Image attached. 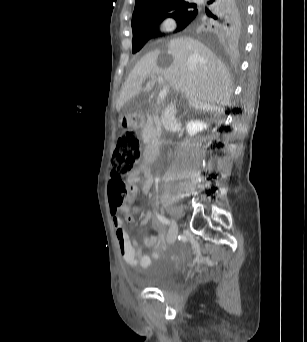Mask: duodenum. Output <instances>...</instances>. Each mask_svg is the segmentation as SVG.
<instances>
[{"label":"duodenum","instance_id":"obj_1","mask_svg":"<svg viewBox=\"0 0 307 342\" xmlns=\"http://www.w3.org/2000/svg\"><path fill=\"white\" fill-rule=\"evenodd\" d=\"M125 128H132L134 126L135 128L141 129L143 127V118L138 117H126ZM157 147L155 144L150 146H145L143 149V159L146 163H149L156 155Z\"/></svg>","mask_w":307,"mask_h":342}]
</instances>
